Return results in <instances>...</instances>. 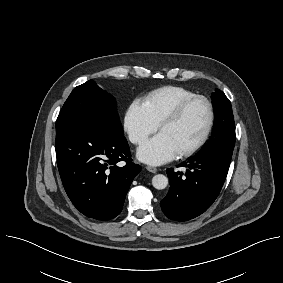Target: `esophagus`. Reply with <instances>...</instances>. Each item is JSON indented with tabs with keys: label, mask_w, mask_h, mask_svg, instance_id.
Listing matches in <instances>:
<instances>
[{
	"label": "esophagus",
	"mask_w": 283,
	"mask_h": 283,
	"mask_svg": "<svg viewBox=\"0 0 283 283\" xmlns=\"http://www.w3.org/2000/svg\"><path fill=\"white\" fill-rule=\"evenodd\" d=\"M146 169H147L149 172H152V173H156V172H157V168L152 167V166H147Z\"/></svg>",
	"instance_id": "obj_1"
}]
</instances>
